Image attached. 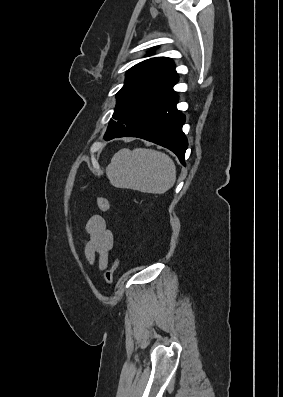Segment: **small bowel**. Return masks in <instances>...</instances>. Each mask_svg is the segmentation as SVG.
Wrapping results in <instances>:
<instances>
[{
	"label": "small bowel",
	"instance_id": "small-bowel-1",
	"mask_svg": "<svg viewBox=\"0 0 283 397\" xmlns=\"http://www.w3.org/2000/svg\"><path fill=\"white\" fill-rule=\"evenodd\" d=\"M88 239L84 243V253L90 264L97 262L100 270H105L110 252L114 245V236L100 215L91 216L85 225Z\"/></svg>",
	"mask_w": 283,
	"mask_h": 397
}]
</instances>
